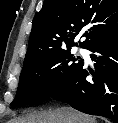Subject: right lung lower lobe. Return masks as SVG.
I'll list each match as a JSON object with an SVG mask.
<instances>
[{
	"instance_id": "98d812e1",
	"label": "right lung lower lobe",
	"mask_w": 118,
	"mask_h": 123,
	"mask_svg": "<svg viewBox=\"0 0 118 123\" xmlns=\"http://www.w3.org/2000/svg\"><path fill=\"white\" fill-rule=\"evenodd\" d=\"M95 71L84 67L50 98L69 103L73 108L90 115L107 117L118 123V35L90 47ZM89 73L92 81H87Z\"/></svg>"
}]
</instances>
